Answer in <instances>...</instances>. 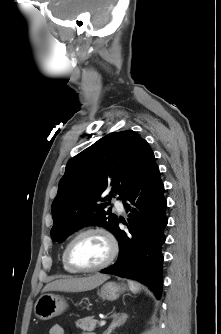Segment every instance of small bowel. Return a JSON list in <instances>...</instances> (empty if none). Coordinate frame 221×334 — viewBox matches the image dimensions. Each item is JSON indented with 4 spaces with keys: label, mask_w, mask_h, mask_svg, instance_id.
<instances>
[{
    "label": "small bowel",
    "mask_w": 221,
    "mask_h": 334,
    "mask_svg": "<svg viewBox=\"0 0 221 334\" xmlns=\"http://www.w3.org/2000/svg\"><path fill=\"white\" fill-rule=\"evenodd\" d=\"M48 334H65V331L61 325L55 324L50 327Z\"/></svg>",
    "instance_id": "1"
}]
</instances>
